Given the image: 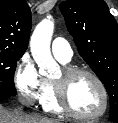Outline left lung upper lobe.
<instances>
[{"label": "left lung upper lobe", "instance_id": "1", "mask_svg": "<svg viewBox=\"0 0 118 123\" xmlns=\"http://www.w3.org/2000/svg\"><path fill=\"white\" fill-rule=\"evenodd\" d=\"M85 62L104 84L112 119L118 120V26L103 0H67L59 5Z\"/></svg>", "mask_w": 118, "mask_h": 123}]
</instances>
